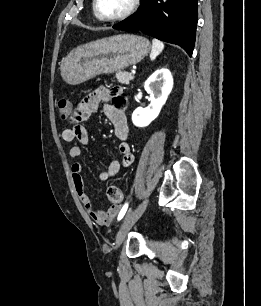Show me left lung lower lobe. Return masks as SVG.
Masks as SVG:
<instances>
[{"label": "left lung lower lobe", "instance_id": "1", "mask_svg": "<svg viewBox=\"0 0 261 306\" xmlns=\"http://www.w3.org/2000/svg\"><path fill=\"white\" fill-rule=\"evenodd\" d=\"M196 24L197 0H141L139 10L113 28L142 31L181 46L191 56Z\"/></svg>", "mask_w": 261, "mask_h": 306}]
</instances>
